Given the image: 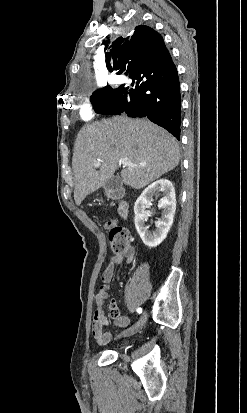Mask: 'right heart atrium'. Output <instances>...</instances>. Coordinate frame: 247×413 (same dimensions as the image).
<instances>
[{
	"instance_id": "obj_1",
	"label": "right heart atrium",
	"mask_w": 247,
	"mask_h": 413,
	"mask_svg": "<svg viewBox=\"0 0 247 413\" xmlns=\"http://www.w3.org/2000/svg\"><path fill=\"white\" fill-rule=\"evenodd\" d=\"M95 103L93 100H84L82 105L78 107L79 116L81 119H97L99 117V112L93 109ZM82 130V129H81ZM101 130V129H97Z\"/></svg>"
}]
</instances>
